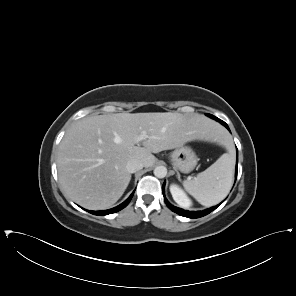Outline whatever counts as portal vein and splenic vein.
<instances>
[{"mask_svg": "<svg viewBox=\"0 0 296 296\" xmlns=\"http://www.w3.org/2000/svg\"><path fill=\"white\" fill-rule=\"evenodd\" d=\"M147 138V135L145 132H143L137 139L136 142H140L141 140Z\"/></svg>", "mask_w": 296, "mask_h": 296, "instance_id": "18ae733b", "label": "portal vein and splenic vein"}]
</instances>
